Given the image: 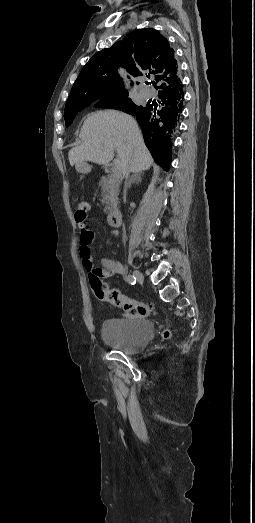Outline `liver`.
Listing matches in <instances>:
<instances>
[{"label":"liver","mask_w":255,"mask_h":523,"mask_svg":"<svg viewBox=\"0 0 255 523\" xmlns=\"http://www.w3.org/2000/svg\"><path fill=\"white\" fill-rule=\"evenodd\" d=\"M79 138L80 146L71 148L68 158L70 166H75L80 174L90 172L86 162L109 164L114 150L118 154L114 164L119 174L128 168L134 174H141L153 164L136 120L123 112H94L85 120Z\"/></svg>","instance_id":"1"}]
</instances>
